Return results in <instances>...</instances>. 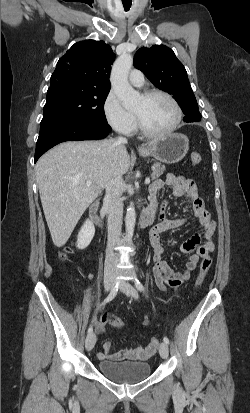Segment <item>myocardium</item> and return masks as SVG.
Segmentation results:
<instances>
[{"mask_svg":"<svg viewBox=\"0 0 250 413\" xmlns=\"http://www.w3.org/2000/svg\"><path fill=\"white\" fill-rule=\"evenodd\" d=\"M163 96L165 98H167L172 105L175 108L176 111V119L173 123V125L167 129L166 131L163 132H153L150 131L144 124L142 118L140 117L139 114L135 113V117H136V121H137V126L139 131L141 132L142 135H144L147 138H153V139H158V138H163L166 137L170 134H172L173 132H175L177 130V128L179 127L181 121H182V109L178 103V101L168 92L164 91V90H160V89H151V90H147L144 92L143 97L146 99H149L153 96Z\"/></svg>","mask_w":250,"mask_h":413,"instance_id":"myocardium-1","label":"myocardium"}]
</instances>
